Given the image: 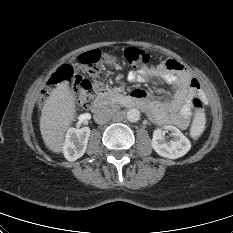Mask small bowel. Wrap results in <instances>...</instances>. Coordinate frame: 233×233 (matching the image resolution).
<instances>
[{"label":"small bowel","instance_id":"obj_1","mask_svg":"<svg viewBox=\"0 0 233 233\" xmlns=\"http://www.w3.org/2000/svg\"><path fill=\"white\" fill-rule=\"evenodd\" d=\"M154 78L175 85L177 87L175 95L167 100H154L145 90L136 89L133 97L155 122L185 129L193 115L191 98L203 93L200 82L183 64L173 58L128 73V79L132 82L144 83Z\"/></svg>","mask_w":233,"mask_h":233}]
</instances>
